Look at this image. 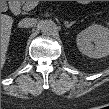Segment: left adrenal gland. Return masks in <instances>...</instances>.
I'll return each mask as SVG.
<instances>
[{
    "label": "left adrenal gland",
    "mask_w": 109,
    "mask_h": 109,
    "mask_svg": "<svg viewBox=\"0 0 109 109\" xmlns=\"http://www.w3.org/2000/svg\"><path fill=\"white\" fill-rule=\"evenodd\" d=\"M74 23H76V21H72L70 23L67 21L64 22L66 28H70Z\"/></svg>",
    "instance_id": "left-adrenal-gland-1"
}]
</instances>
